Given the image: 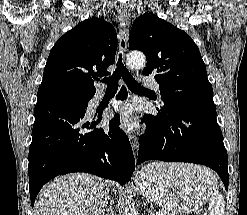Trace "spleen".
Instances as JSON below:
<instances>
[{"label":"spleen","instance_id":"3e777b00","mask_svg":"<svg viewBox=\"0 0 247 215\" xmlns=\"http://www.w3.org/2000/svg\"><path fill=\"white\" fill-rule=\"evenodd\" d=\"M207 173L213 174L209 170L207 171ZM208 198L209 215H224L225 202L222 194L214 188Z\"/></svg>","mask_w":247,"mask_h":215}]
</instances>
